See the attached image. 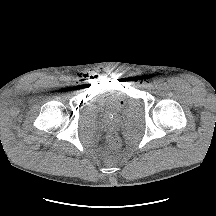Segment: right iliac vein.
<instances>
[{
	"instance_id": "obj_1",
	"label": "right iliac vein",
	"mask_w": 216,
	"mask_h": 216,
	"mask_svg": "<svg viewBox=\"0 0 216 216\" xmlns=\"http://www.w3.org/2000/svg\"><path fill=\"white\" fill-rule=\"evenodd\" d=\"M64 81H66L68 84L71 82V81L69 80V78H65Z\"/></svg>"
}]
</instances>
